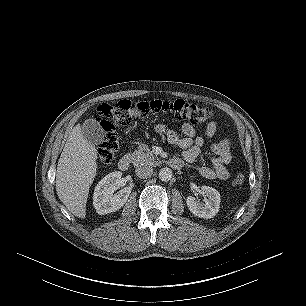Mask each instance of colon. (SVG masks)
I'll return each instance as SVG.
<instances>
[{"instance_id":"1","label":"colon","mask_w":306,"mask_h":306,"mask_svg":"<svg viewBox=\"0 0 306 306\" xmlns=\"http://www.w3.org/2000/svg\"><path fill=\"white\" fill-rule=\"evenodd\" d=\"M151 114H170L191 125L201 124L212 115L209 108L181 99L173 101L122 100L115 104L102 103L98 107L99 124L103 132V140L98 151L99 165L102 167L109 165L119 150L116 125H127L134 119L144 118ZM244 180L243 174H237L233 185L241 186Z\"/></svg>"}]
</instances>
